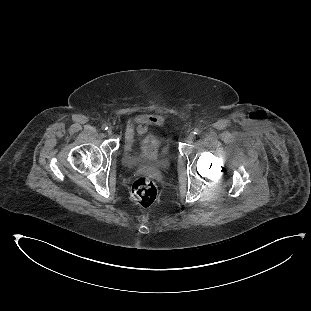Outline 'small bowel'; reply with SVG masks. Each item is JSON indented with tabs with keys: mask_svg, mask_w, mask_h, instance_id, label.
I'll list each match as a JSON object with an SVG mask.
<instances>
[{
	"mask_svg": "<svg viewBox=\"0 0 311 311\" xmlns=\"http://www.w3.org/2000/svg\"><path fill=\"white\" fill-rule=\"evenodd\" d=\"M158 118L151 115H141L135 121V129L139 135L146 133L148 127L156 125Z\"/></svg>",
	"mask_w": 311,
	"mask_h": 311,
	"instance_id": "small-bowel-1",
	"label": "small bowel"
}]
</instances>
